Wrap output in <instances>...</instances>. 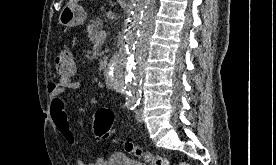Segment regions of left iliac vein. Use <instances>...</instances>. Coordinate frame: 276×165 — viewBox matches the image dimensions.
Masks as SVG:
<instances>
[{
	"label": "left iliac vein",
	"instance_id": "4c4485c4",
	"mask_svg": "<svg viewBox=\"0 0 276 165\" xmlns=\"http://www.w3.org/2000/svg\"><path fill=\"white\" fill-rule=\"evenodd\" d=\"M136 119L138 122H143V112L142 109H139L136 111V115H135Z\"/></svg>",
	"mask_w": 276,
	"mask_h": 165
}]
</instances>
